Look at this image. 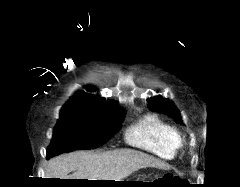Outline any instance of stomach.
Returning <instances> with one entry per match:
<instances>
[{
  "label": "stomach",
  "mask_w": 240,
  "mask_h": 187,
  "mask_svg": "<svg viewBox=\"0 0 240 187\" xmlns=\"http://www.w3.org/2000/svg\"><path fill=\"white\" fill-rule=\"evenodd\" d=\"M122 181V180H121ZM124 181V180H123ZM126 181H130V180H126ZM134 182H139V181H134ZM144 182V181H143ZM116 186H121V187H133V186H143V185H135L134 183H117L115 184Z\"/></svg>",
  "instance_id": "1"
}]
</instances>
